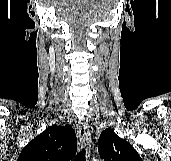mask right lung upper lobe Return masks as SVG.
Returning <instances> with one entry per match:
<instances>
[{"instance_id":"obj_1","label":"right lung upper lobe","mask_w":171,"mask_h":161,"mask_svg":"<svg viewBox=\"0 0 171 161\" xmlns=\"http://www.w3.org/2000/svg\"><path fill=\"white\" fill-rule=\"evenodd\" d=\"M76 149L71 126L52 125L23 148L17 161H71Z\"/></svg>"}]
</instances>
